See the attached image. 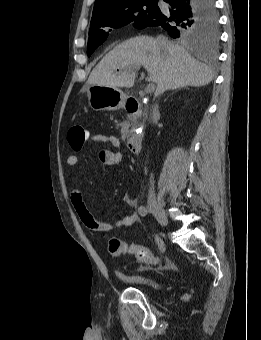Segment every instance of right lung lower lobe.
I'll use <instances>...</instances> for the list:
<instances>
[{"label":"right lung lower lobe","instance_id":"98d812e1","mask_svg":"<svg viewBox=\"0 0 261 340\" xmlns=\"http://www.w3.org/2000/svg\"><path fill=\"white\" fill-rule=\"evenodd\" d=\"M169 10L161 9L149 26H161L173 38H177V25L191 14L199 16L217 14L215 0H164Z\"/></svg>","mask_w":261,"mask_h":340}]
</instances>
